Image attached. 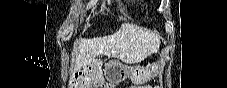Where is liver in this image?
Listing matches in <instances>:
<instances>
[{
	"label": "liver",
	"instance_id": "6515ba94",
	"mask_svg": "<svg viewBox=\"0 0 227 88\" xmlns=\"http://www.w3.org/2000/svg\"><path fill=\"white\" fill-rule=\"evenodd\" d=\"M159 46L160 41L154 33L125 23L112 35L80 39L75 48L74 70L85 69L100 55L116 57L129 64L139 63L155 53Z\"/></svg>",
	"mask_w": 227,
	"mask_h": 88
}]
</instances>
